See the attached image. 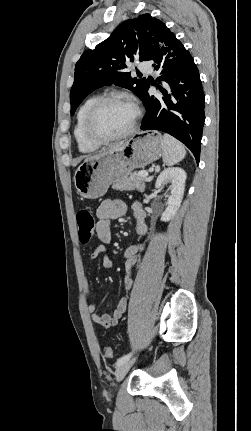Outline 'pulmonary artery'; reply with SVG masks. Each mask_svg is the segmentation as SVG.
<instances>
[{"mask_svg": "<svg viewBox=\"0 0 251 431\" xmlns=\"http://www.w3.org/2000/svg\"><path fill=\"white\" fill-rule=\"evenodd\" d=\"M139 70L144 73H152L153 69L149 63L143 62L138 66Z\"/></svg>", "mask_w": 251, "mask_h": 431, "instance_id": "e3ab8cb5", "label": "pulmonary artery"}]
</instances>
